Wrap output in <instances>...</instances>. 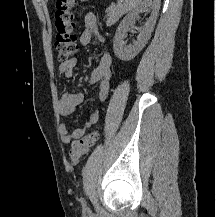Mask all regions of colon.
<instances>
[{
	"label": "colon",
	"mask_w": 216,
	"mask_h": 217,
	"mask_svg": "<svg viewBox=\"0 0 216 217\" xmlns=\"http://www.w3.org/2000/svg\"><path fill=\"white\" fill-rule=\"evenodd\" d=\"M76 0H57L55 6V25L57 36L54 44V50L57 59L61 63L70 61L76 51L77 36L75 33V21L72 7ZM98 133L92 131L85 136L75 140L68 154V160L72 165H77L82 157L97 142Z\"/></svg>",
	"instance_id": "5ec220e1"
}]
</instances>
